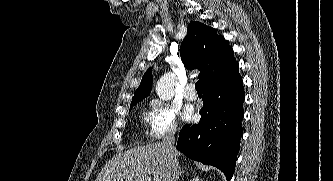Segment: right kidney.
<instances>
[{
	"mask_svg": "<svg viewBox=\"0 0 333 181\" xmlns=\"http://www.w3.org/2000/svg\"><path fill=\"white\" fill-rule=\"evenodd\" d=\"M191 181H200L198 177L193 178Z\"/></svg>",
	"mask_w": 333,
	"mask_h": 181,
	"instance_id": "right-kidney-1",
	"label": "right kidney"
}]
</instances>
